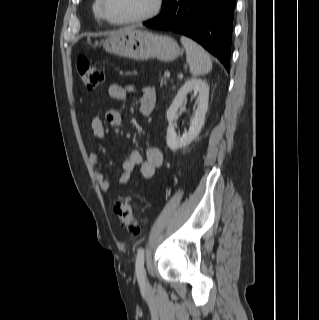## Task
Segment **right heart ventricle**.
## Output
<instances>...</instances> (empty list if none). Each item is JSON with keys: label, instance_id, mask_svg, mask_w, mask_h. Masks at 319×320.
Instances as JSON below:
<instances>
[{"label": "right heart ventricle", "instance_id": "obj_1", "mask_svg": "<svg viewBox=\"0 0 319 320\" xmlns=\"http://www.w3.org/2000/svg\"><path fill=\"white\" fill-rule=\"evenodd\" d=\"M93 12H94V15H95V17H96V19L98 21H102L103 20V18L101 16V13H100V1L99 0H95L94 1Z\"/></svg>", "mask_w": 319, "mask_h": 320}]
</instances>
